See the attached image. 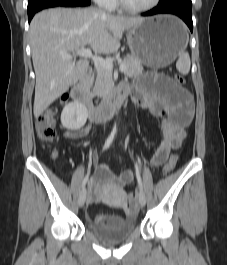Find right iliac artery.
Here are the masks:
<instances>
[{
    "label": "right iliac artery",
    "instance_id": "obj_1",
    "mask_svg": "<svg viewBox=\"0 0 227 265\" xmlns=\"http://www.w3.org/2000/svg\"><path fill=\"white\" fill-rule=\"evenodd\" d=\"M116 130H117V127H116V125H114L112 132L110 133L109 137L107 138V140H106V142H105V144H104V146H103V150H106V149L109 148V146L111 145V143H112V141H113V139H114V136H115ZM88 178H89V174H87V175L85 176V178H84V180H83V182H82V189L85 188L86 183H87V181H88Z\"/></svg>",
    "mask_w": 227,
    "mask_h": 265
}]
</instances>
